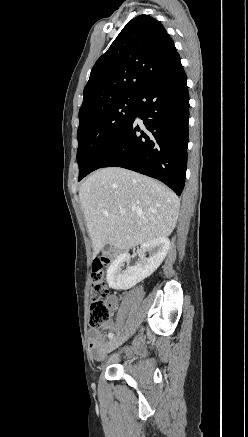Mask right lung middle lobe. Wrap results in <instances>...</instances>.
Instances as JSON below:
<instances>
[{"label":"right lung middle lobe","instance_id":"right-lung-middle-lobe-1","mask_svg":"<svg viewBox=\"0 0 248 437\" xmlns=\"http://www.w3.org/2000/svg\"><path fill=\"white\" fill-rule=\"evenodd\" d=\"M135 101L136 96L119 99L80 122L77 131L79 181L90 173L96 157L128 124L134 113Z\"/></svg>","mask_w":248,"mask_h":437}]
</instances>
